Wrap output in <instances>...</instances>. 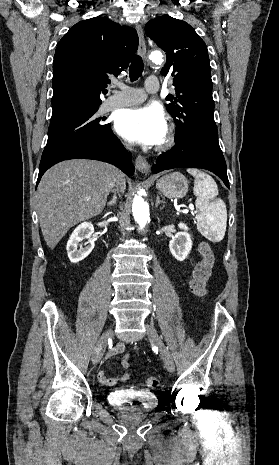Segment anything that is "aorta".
I'll return each mask as SVG.
<instances>
[{
  "instance_id": "1",
  "label": "aorta",
  "mask_w": 279,
  "mask_h": 465,
  "mask_svg": "<svg viewBox=\"0 0 279 465\" xmlns=\"http://www.w3.org/2000/svg\"><path fill=\"white\" fill-rule=\"evenodd\" d=\"M151 59L155 63L162 62V55L160 52H153L151 54ZM132 212L135 221L139 224L140 228L144 227L147 221L149 220V205L141 197V194L135 195L132 203Z\"/></svg>"
}]
</instances>
